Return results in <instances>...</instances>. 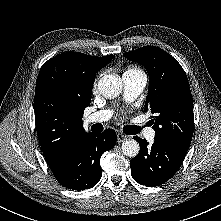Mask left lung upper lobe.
Listing matches in <instances>:
<instances>
[{"instance_id": "5c2ea615", "label": "left lung upper lobe", "mask_w": 221, "mask_h": 221, "mask_svg": "<svg viewBox=\"0 0 221 221\" xmlns=\"http://www.w3.org/2000/svg\"><path fill=\"white\" fill-rule=\"evenodd\" d=\"M142 64L149 75L145 111L154 116L155 140L189 148L194 129L193 101L186 74L170 54L145 46L123 54Z\"/></svg>"}]
</instances>
